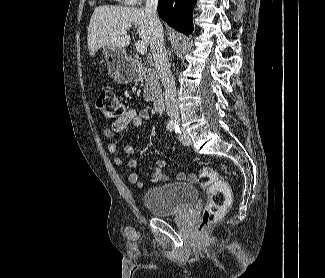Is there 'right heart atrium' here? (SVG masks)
<instances>
[{
    "instance_id": "obj_1",
    "label": "right heart atrium",
    "mask_w": 325,
    "mask_h": 278,
    "mask_svg": "<svg viewBox=\"0 0 325 278\" xmlns=\"http://www.w3.org/2000/svg\"><path fill=\"white\" fill-rule=\"evenodd\" d=\"M144 0H127L128 3L130 4H140L142 3Z\"/></svg>"
}]
</instances>
